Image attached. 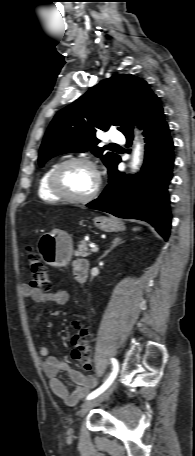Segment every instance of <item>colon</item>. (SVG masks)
Here are the masks:
<instances>
[{"instance_id": "obj_1", "label": "colon", "mask_w": 195, "mask_h": 456, "mask_svg": "<svg viewBox=\"0 0 195 456\" xmlns=\"http://www.w3.org/2000/svg\"><path fill=\"white\" fill-rule=\"evenodd\" d=\"M28 262L32 274L30 286L47 292L51 288V279L47 267L40 256L31 248H28ZM71 327L74 330L72 336L73 359L79 362L86 370L92 368V343L91 334L85 325L78 319L71 321Z\"/></svg>"}]
</instances>
